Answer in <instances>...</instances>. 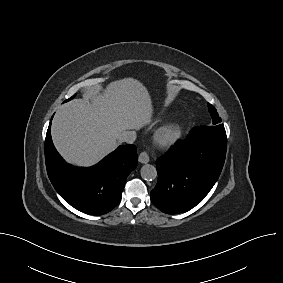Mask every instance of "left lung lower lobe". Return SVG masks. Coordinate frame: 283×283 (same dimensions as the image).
<instances>
[{"mask_svg": "<svg viewBox=\"0 0 283 283\" xmlns=\"http://www.w3.org/2000/svg\"><path fill=\"white\" fill-rule=\"evenodd\" d=\"M227 148L226 132L208 126L192 129L157 159L158 181L152 203L166 214L190 210L212 189L222 171Z\"/></svg>", "mask_w": 283, "mask_h": 283, "instance_id": "1", "label": "left lung lower lobe"}]
</instances>
